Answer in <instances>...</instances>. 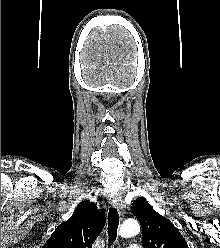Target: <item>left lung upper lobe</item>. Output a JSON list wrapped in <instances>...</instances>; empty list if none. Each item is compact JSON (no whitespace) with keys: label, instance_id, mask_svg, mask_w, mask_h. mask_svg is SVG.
Segmentation results:
<instances>
[{"label":"left lung upper lobe","instance_id":"5c2ea615","mask_svg":"<svg viewBox=\"0 0 220 248\" xmlns=\"http://www.w3.org/2000/svg\"><path fill=\"white\" fill-rule=\"evenodd\" d=\"M132 213L141 223L145 248H188L179 230L157 213L145 198L139 197L133 201Z\"/></svg>","mask_w":220,"mask_h":248}]
</instances>
